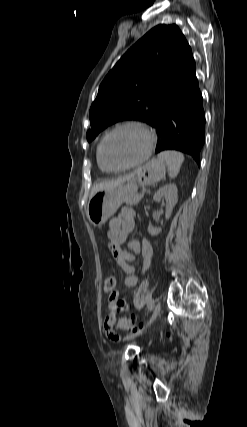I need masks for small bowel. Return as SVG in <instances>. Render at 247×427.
Masks as SVG:
<instances>
[{
  "instance_id": "c3829d8e",
  "label": "small bowel",
  "mask_w": 247,
  "mask_h": 427,
  "mask_svg": "<svg viewBox=\"0 0 247 427\" xmlns=\"http://www.w3.org/2000/svg\"><path fill=\"white\" fill-rule=\"evenodd\" d=\"M135 228L134 212L130 209H123L120 214L113 218L109 223L108 230V248L116 259L118 265L126 272L125 286L134 287L138 282V276L135 269L130 264L134 261V255L140 254L143 260V271H147L151 265L153 249L150 242L142 238L141 240H129L130 233ZM127 243L131 252L122 250L120 245ZM109 314L106 316L104 328L107 336L114 341L120 339L113 327L116 321V314L119 311L128 309V304L120 300L117 291L112 292L108 297Z\"/></svg>"
}]
</instances>
